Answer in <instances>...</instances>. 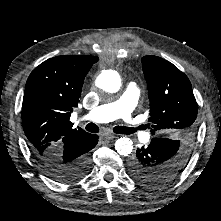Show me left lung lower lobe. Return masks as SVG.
Here are the masks:
<instances>
[{"label": "left lung lower lobe", "instance_id": "left-lung-lower-lobe-1", "mask_svg": "<svg viewBox=\"0 0 221 221\" xmlns=\"http://www.w3.org/2000/svg\"><path fill=\"white\" fill-rule=\"evenodd\" d=\"M162 141L164 139L153 138L148 146L138 148L136 155L130 160V175L138 183L150 187H159L158 183L149 180V178L163 174L160 164L166 156L167 147ZM167 183L169 181H165L163 184Z\"/></svg>", "mask_w": 221, "mask_h": 221}]
</instances>
